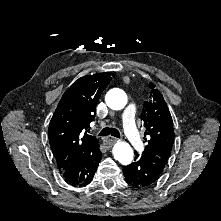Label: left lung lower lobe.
Returning a JSON list of instances; mask_svg holds the SVG:
<instances>
[{
	"label": "left lung lower lobe",
	"instance_id": "left-lung-lower-lobe-1",
	"mask_svg": "<svg viewBox=\"0 0 221 221\" xmlns=\"http://www.w3.org/2000/svg\"><path fill=\"white\" fill-rule=\"evenodd\" d=\"M162 172L163 170L138 154L135 156V162L123 168L125 179L136 188L153 185L160 178Z\"/></svg>",
	"mask_w": 221,
	"mask_h": 221
}]
</instances>
